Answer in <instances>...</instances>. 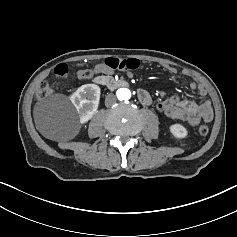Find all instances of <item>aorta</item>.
I'll return each instance as SVG.
<instances>
[{
  "mask_svg": "<svg viewBox=\"0 0 237 237\" xmlns=\"http://www.w3.org/2000/svg\"><path fill=\"white\" fill-rule=\"evenodd\" d=\"M117 96L120 100H129L132 96L131 90L128 88H120L117 91Z\"/></svg>",
  "mask_w": 237,
  "mask_h": 237,
  "instance_id": "aorta-1",
  "label": "aorta"
}]
</instances>
